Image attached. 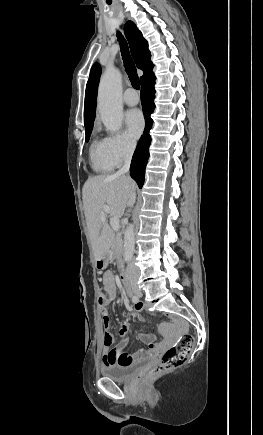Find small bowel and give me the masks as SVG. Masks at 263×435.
Returning <instances> with one entry per match:
<instances>
[{"instance_id": "obj_1", "label": "small bowel", "mask_w": 263, "mask_h": 435, "mask_svg": "<svg viewBox=\"0 0 263 435\" xmlns=\"http://www.w3.org/2000/svg\"><path fill=\"white\" fill-rule=\"evenodd\" d=\"M103 285L106 294L104 295V300L100 302L102 322L104 328H110L111 322L108 305L113 299H115L117 295L114 276L110 271L105 272L103 276ZM143 312V304H136L134 308V317L137 321H144L142 315ZM128 331L129 329L127 324H122L119 329V335L122 340L113 348V350L103 349V363L105 366L132 364L144 359L145 357L157 356L167 345L171 343V340L157 341L154 334H141L140 339L146 344V346L140 347L133 353H128L124 350L129 343V339L127 337Z\"/></svg>"}]
</instances>
